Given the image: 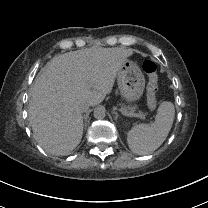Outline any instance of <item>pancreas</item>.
<instances>
[{
	"label": "pancreas",
	"instance_id": "1",
	"mask_svg": "<svg viewBox=\"0 0 208 208\" xmlns=\"http://www.w3.org/2000/svg\"><path fill=\"white\" fill-rule=\"evenodd\" d=\"M123 110L125 112H131L132 113L134 111V107H129V108L124 107Z\"/></svg>",
	"mask_w": 208,
	"mask_h": 208
}]
</instances>
